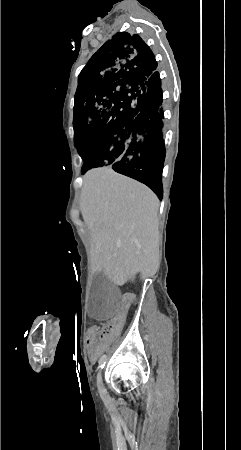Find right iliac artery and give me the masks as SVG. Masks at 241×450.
Here are the masks:
<instances>
[{"instance_id": "1", "label": "right iliac artery", "mask_w": 241, "mask_h": 450, "mask_svg": "<svg viewBox=\"0 0 241 450\" xmlns=\"http://www.w3.org/2000/svg\"><path fill=\"white\" fill-rule=\"evenodd\" d=\"M105 357H106V356L103 355L102 358H101V360H100V362H99L101 368L104 367V364H105Z\"/></svg>"}]
</instances>
